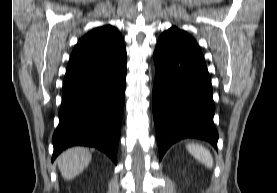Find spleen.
Here are the masks:
<instances>
[{"label":"spleen","mask_w":277,"mask_h":193,"mask_svg":"<svg viewBox=\"0 0 277 193\" xmlns=\"http://www.w3.org/2000/svg\"><path fill=\"white\" fill-rule=\"evenodd\" d=\"M188 152L199 162L207 166L208 168H212L214 165L213 157L208 149L199 145V144H188L186 146Z\"/></svg>","instance_id":"obj_1"}]
</instances>
